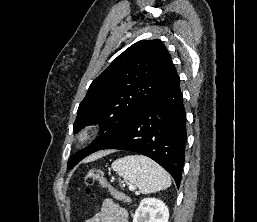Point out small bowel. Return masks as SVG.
Wrapping results in <instances>:
<instances>
[{
  "label": "small bowel",
  "instance_id": "small-bowel-1",
  "mask_svg": "<svg viewBox=\"0 0 257 222\" xmlns=\"http://www.w3.org/2000/svg\"><path fill=\"white\" fill-rule=\"evenodd\" d=\"M85 222H129L128 213L114 200L107 198L103 201L101 210Z\"/></svg>",
  "mask_w": 257,
  "mask_h": 222
}]
</instances>
